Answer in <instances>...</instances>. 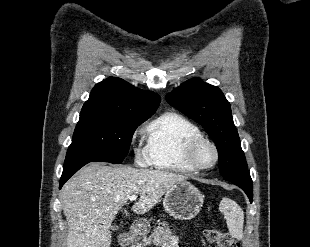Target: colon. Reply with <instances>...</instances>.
Returning <instances> with one entry per match:
<instances>
[{"mask_svg":"<svg viewBox=\"0 0 310 247\" xmlns=\"http://www.w3.org/2000/svg\"><path fill=\"white\" fill-rule=\"evenodd\" d=\"M207 236L216 247H239L235 239L229 233L221 230L211 229L207 232Z\"/></svg>","mask_w":310,"mask_h":247,"instance_id":"obj_1","label":"colon"}]
</instances>
